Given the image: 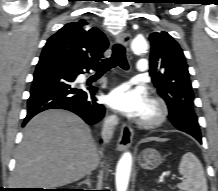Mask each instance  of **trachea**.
I'll return each instance as SVG.
<instances>
[{"instance_id":"3493384b","label":"trachea","mask_w":218,"mask_h":191,"mask_svg":"<svg viewBox=\"0 0 218 191\" xmlns=\"http://www.w3.org/2000/svg\"><path fill=\"white\" fill-rule=\"evenodd\" d=\"M116 66H120L124 70L129 69V65L125 55V48L121 44H115L113 46V54L108 59H103L99 68L98 72H106L111 68Z\"/></svg>"}]
</instances>
